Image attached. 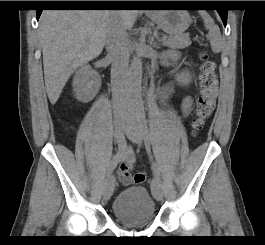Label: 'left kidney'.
<instances>
[{"label":"left kidney","mask_w":265,"mask_h":245,"mask_svg":"<svg viewBox=\"0 0 265 245\" xmlns=\"http://www.w3.org/2000/svg\"><path fill=\"white\" fill-rule=\"evenodd\" d=\"M176 80L182 84H188L191 81L189 72H182L176 75Z\"/></svg>","instance_id":"obj_1"}]
</instances>
